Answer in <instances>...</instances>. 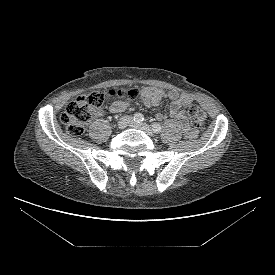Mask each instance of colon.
<instances>
[{
	"label": "colon",
	"instance_id": "1",
	"mask_svg": "<svg viewBox=\"0 0 275 275\" xmlns=\"http://www.w3.org/2000/svg\"><path fill=\"white\" fill-rule=\"evenodd\" d=\"M110 97H133L134 91L109 90L106 93L94 92L82 95L69 102L60 116V121L72 136H80L85 130L86 123L100 110L105 96ZM189 116L193 126L202 130L206 122L205 112L197 105L189 108Z\"/></svg>",
	"mask_w": 275,
	"mask_h": 275
}]
</instances>
